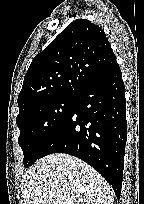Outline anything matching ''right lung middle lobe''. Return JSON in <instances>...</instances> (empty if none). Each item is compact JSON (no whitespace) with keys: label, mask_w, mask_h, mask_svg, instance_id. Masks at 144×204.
Masks as SVG:
<instances>
[{"label":"right lung middle lobe","mask_w":144,"mask_h":204,"mask_svg":"<svg viewBox=\"0 0 144 204\" xmlns=\"http://www.w3.org/2000/svg\"><path fill=\"white\" fill-rule=\"evenodd\" d=\"M74 95H61L41 102L16 118L20 130L18 142L23 150L24 167L42 157V152L69 115Z\"/></svg>","instance_id":"right-lung-middle-lobe-1"}]
</instances>
